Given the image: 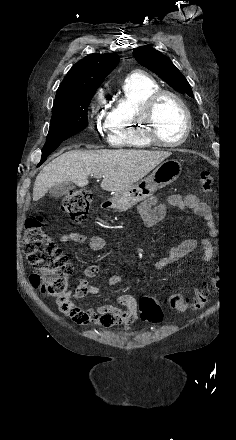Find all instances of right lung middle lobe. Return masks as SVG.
<instances>
[{
  "instance_id": "1",
  "label": "right lung middle lobe",
  "mask_w": 236,
  "mask_h": 440,
  "mask_svg": "<svg viewBox=\"0 0 236 440\" xmlns=\"http://www.w3.org/2000/svg\"><path fill=\"white\" fill-rule=\"evenodd\" d=\"M94 93L54 104L49 133L44 147L60 143L88 125L87 108Z\"/></svg>"
}]
</instances>
